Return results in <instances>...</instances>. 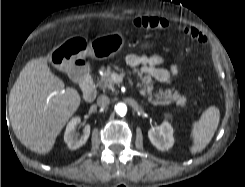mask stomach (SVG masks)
Listing matches in <instances>:
<instances>
[{
  "label": "stomach",
  "mask_w": 245,
  "mask_h": 187,
  "mask_svg": "<svg viewBox=\"0 0 245 187\" xmlns=\"http://www.w3.org/2000/svg\"><path fill=\"white\" fill-rule=\"evenodd\" d=\"M126 40L120 32L99 36L88 42L85 38L70 37L55 47L49 54L48 61L61 71L69 70L77 60L90 56L96 60H106L116 55L125 45ZM153 42L140 45L150 49Z\"/></svg>",
  "instance_id": "stomach-1"
}]
</instances>
